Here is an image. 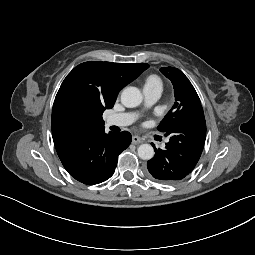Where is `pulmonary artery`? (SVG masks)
Returning <instances> with one entry per match:
<instances>
[{
    "mask_svg": "<svg viewBox=\"0 0 255 255\" xmlns=\"http://www.w3.org/2000/svg\"><path fill=\"white\" fill-rule=\"evenodd\" d=\"M144 95H145L147 104L150 105L159 99L161 95V90L160 89H144ZM134 120H135V115L132 113L113 114L106 119V124L108 126L123 127V126H127L131 124Z\"/></svg>",
    "mask_w": 255,
    "mask_h": 255,
    "instance_id": "obj_1",
    "label": "pulmonary artery"
}]
</instances>
